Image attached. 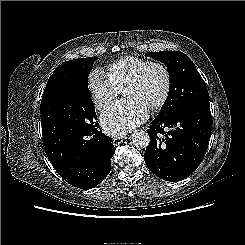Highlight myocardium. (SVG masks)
Returning a JSON list of instances; mask_svg holds the SVG:
<instances>
[{
	"label": "myocardium",
	"mask_w": 245,
	"mask_h": 245,
	"mask_svg": "<svg viewBox=\"0 0 245 245\" xmlns=\"http://www.w3.org/2000/svg\"><path fill=\"white\" fill-rule=\"evenodd\" d=\"M152 67H158L163 72L164 75L163 92L160 98L150 106L152 110H156L161 108L166 103L171 90V74L168 67L163 62L149 61L148 63H146L133 75L132 78L128 80V82L123 87V90L128 87L136 86L137 84H139L144 78V76L146 75L147 71Z\"/></svg>",
	"instance_id": "myocardium-1"
}]
</instances>
